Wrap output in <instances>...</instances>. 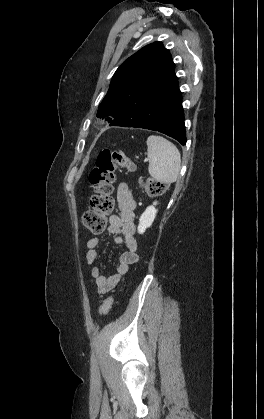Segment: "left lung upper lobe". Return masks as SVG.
I'll use <instances>...</instances> for the list:
<instances>
[{
  "mask_svg": "<svg viewBox=\"0 0 264 419\" xmlns=\"http://www.w3.org/2000/svg\"><path fill=\"white\" fill-rule=\"evenodd\" d=\"M174 67L169 50L161 42L143 47L116 70L97 117L121 116L141 99L146 89L174 77Z\"/></svg>",
  "mask_w": 264,
  "mask_h": 419,
  "instance_id": "left-lung-upper-lobe-1",
  "label": "left lung upper lobe"
}]
</instances>
